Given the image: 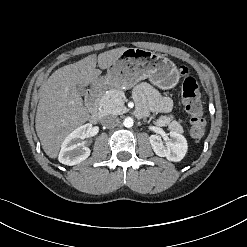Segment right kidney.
Listing matches in <instances>:
<instances>
[{
    "label": "right kidney",
    "instance_id": "1",
    "mask_svg": "<svg viewBox=\"0 0 247 247\" xmlns=\"http://www.w3.org/2000/svg\"><path fill=\"white\" fill-rule=\"evenodd\" d=\"M91 127V124L82 125L65 138L58 157L60 163L73 166L89 157L91 151L81 144V140L88 137Z\"/></svg>",
    "mask_w": 247,
    "mask_h": 247
}]
</instances>
